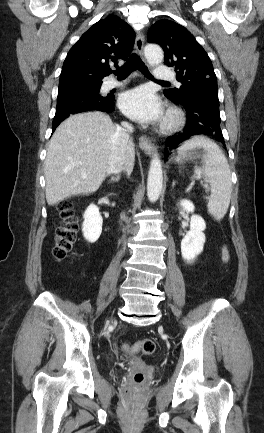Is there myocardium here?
Masks as SVG:
<instances>
[{"label":"myocardium","instance_id":"f54148a6","mask_svg":"<svg viewBox=\"0 0 264 433\" xmlns=\"http://www.w3.org/2000/svg\"><path fill=\"white\" fill-rule=\"evenodd\" d=\"M183 122V113L177 108H170L161 124V129L165 132H173L179 129Z\"/></svg>","mask_w":264,"mask_h":433}]
</instances>
